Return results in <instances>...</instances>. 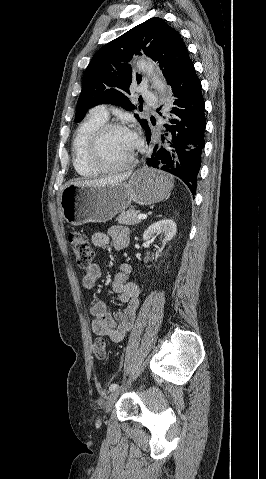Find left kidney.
Masks as SVG:
<instances>
[{
    "instance_id": "1",
    "label": "left kidney",
    "mask_w": 266,
    "mask_h": 479,
    "mask_svg": "<svg viewBox=\"0 0 266 479\" xmlns=\"http://www.w3.org/2000/svg\"><path fill=\"white\" fill-rule=\"evenodd\" d=\"M176 223L171 219L160 220L150 225L143 234V240L150 241L156 234L163 233V245L170 241L176 234Z\"/></svg>"
}]
</instances>
